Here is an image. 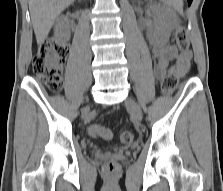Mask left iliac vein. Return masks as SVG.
<instances>
[{
	"label": "left iliac vein",
	"instance_id": "left-iliac-vein-1",
	"mask_svg": "<svg viewBox=\"0 0 223 191\" xmlns=\"http://www.w3.org/2000/svg\"><path fill=\"white\" fill-rule=\"evenodd\" d=\"M125 104L136 122L139 123L141 120V111L138 104L132 98H127Z\"/></svg>",
	"mask_w": 223,
	"mask_h": 191
}]
</instances>
